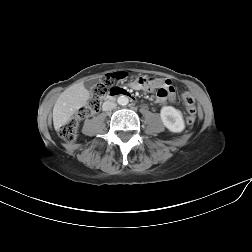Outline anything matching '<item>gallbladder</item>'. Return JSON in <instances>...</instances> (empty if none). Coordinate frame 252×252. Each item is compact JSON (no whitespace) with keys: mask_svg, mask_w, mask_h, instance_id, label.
Segmentation results:
<instances>
[{"mask_svg":"<svg viewBox=\"0 0 252 252\" xmlns=\"http://www.w3.org/2000/svg\"><path fill=\"white\" fill-rule=\"evenodd\" d=\"M92 84H93L92 82H86L84 85L87 89H90Z\"/></svg>","mask_w":252,"mask_h":252,"instance_id":"gallbladder-1","label":"gallbladder"}]
</instances>
